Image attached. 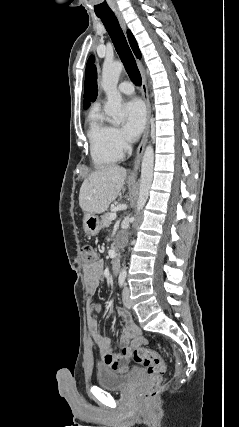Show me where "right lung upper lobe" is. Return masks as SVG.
Here are the masks:
<instances>
[{"label":"right lung upper lobe","mask_w":239,"mask_h":427,"mask_svg":"<svg viewBox=\"0 0 239 427\" xmlns=\"http://www.w3.org/2000/svg\"><path fill=\"white\" fill-rule=\"evenodd\" d=\"M127 35H128V39H129V43L131 45V48L133 49L136 57L141 58V53H140V50L138 48V45H137V42H136L134 36L132 35V33L129 30L127 31Z\"/></svg>","instance_id":"obj_1"}]
</instances>
